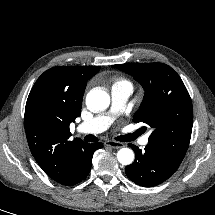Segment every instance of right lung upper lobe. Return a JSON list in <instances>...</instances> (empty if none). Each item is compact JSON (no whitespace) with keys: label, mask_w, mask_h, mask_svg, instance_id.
<instances>
[{"label":"right lung upper lobe","mask_w":215,"mask_h":215,"mask_svg":"<svg viewBox=\"0 0 215 215\" xmlns=\"http://www.w3.org/2000/svg\"><path fill=\"white\" fill-rule=\"evenodd\" d=\"M100 66H63L45 71L28 96L24 124L29 148L54 181L66 184L75 170V157L87 143L69 140V125L81 114L86 82Z\"/></svg>","instance_id":"right-lung-upper-lobe-1"}]
</instances>
